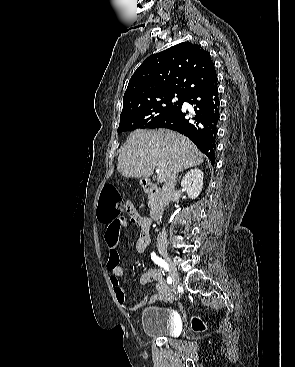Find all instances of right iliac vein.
<instances>
[{"mask_svg":"<svg viewBox=\"0 0 295 367\" xmlns=\"http://www.w3.org/2000/svg\"><path fill=\"white\" fill-rule=\"evenodd\" d=\"M159 252L162 255V257L164 258L165 262L168 264L170 268L169 271H170V275L173 280V283L175 286H177L180 280H179V275H178V272H177V269L174 263L171 261V258L165 249L161 248L159 249Z\"/></svg>","mask_w":295,"mask_h":367,"instance_id":"right-iliac-vein-1","label":"right iliac vein"}]
</instances>
